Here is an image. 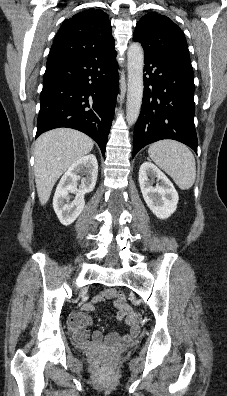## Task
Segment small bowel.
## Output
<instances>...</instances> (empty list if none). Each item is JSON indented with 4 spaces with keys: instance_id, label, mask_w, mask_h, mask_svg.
<instances>
[{
    "instance_id": "1",
    "label": "small bowel",
    "mask_w": 227,
    "mask_h": 396,
    "mask_svg": "<svg viewBox=\"0 0 227 396\" xmlns=\"http://www.w3.org/2000/svg\"><path fill=\"white\" fill-rule=\"evenodd\" d=\"M117 295L118 292L114 288L104 289L92 301L83 305L82 312L74 314L70 318L69 323L73 330V337L78 344L91 349L102 345L104 341L102 333L94 331L90 337L87 326L91 322L89 314L94 310V305L97 302L109 299H114L115 307L118 309L117 317L119 320L125 321L129 331L122 336L116 332H111L106 336L105 342L115 345L120 341L130 342L140 335L141 329L133 311L124 299H119Z\"/></svg>"
}]
</instances>
